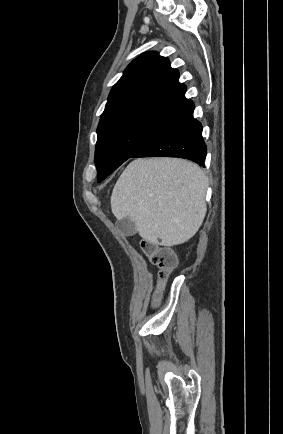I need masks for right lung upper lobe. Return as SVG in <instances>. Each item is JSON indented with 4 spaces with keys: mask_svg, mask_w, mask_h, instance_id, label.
<instances>
[{
    "mask_svg": "<svg viewBox=\"0 0 283 434\" xmlns=\"http://www.w3.org/2000/svg\"><path fill=\"white\" fill-rule=\"evenodd\" d=\"M186 87L168 58L145 52L133 60L110 91L99 123L135 113L176 120L194 109L185 98Z\"/></svg>",
    "mask_w": 283,
    "mask_h": 434,
    "instance_id": "obj_1",
    "label": "right lung upper lobe"
}]
</instances>
